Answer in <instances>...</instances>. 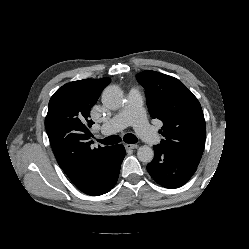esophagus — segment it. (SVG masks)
<instances>
[{"label": "esophagus", "instance_id": "34e87169", "mask_svg": "<svg viewBox=\"0 0 249 249\" xmlns=\"http://www.w3.org/2000/svg\"><path fill=\"white\" fill-rule=\"evenodd\" d=\"M124 146H125L126 150L137 149L139 147V145H137V144H125Z\"/></svg>", "mask_w": 249, "mask_h": 249}]
</instances>
